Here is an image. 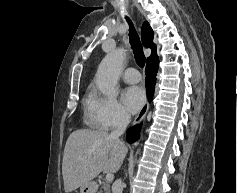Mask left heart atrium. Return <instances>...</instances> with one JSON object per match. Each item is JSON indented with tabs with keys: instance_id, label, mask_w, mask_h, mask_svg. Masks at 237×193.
Instances as JSON below:
<instances>
[{
	"instance_id": "39dd6f15",
	"label": "left heart atrium",
	"mask_w": 237,
	"mask_h": 193,
	"mask_svg": "<svg viewBox=\"0 0 237 193\" xmlns=\"http://www.w3.org/2000/svg\"><path fill=\"white\" fill-rule=\"evenodd\" d=\"M145 100L144 89L140 86H130L126 88L122 95V101L125 108L135 113L143 106Z\"/></svg>"
}]
</instances>
